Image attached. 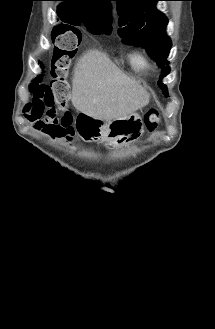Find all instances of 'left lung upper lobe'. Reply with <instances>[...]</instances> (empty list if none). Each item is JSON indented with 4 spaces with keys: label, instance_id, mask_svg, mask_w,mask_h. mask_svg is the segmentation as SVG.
Listing matches in <instances>:
<instances>
[{
    "label": "left lung upper lobe",
    "instance_id": "1",
    "mask_svg": "<svg viewBox=\"0 0 215 329\" xmlns=\"http://www.w3.org/2000/svg\"><path fill=\"white\" fill-rule=\"evenodd\" d=\"M118 1L119 34L124 43L144 47L161 68V78L170 72L167 57L171 40L166 34L167 17L156 9L161 0H116ZM159 87L168 96L167 87L161 81Z\"/></svg>",
    "mask_w": 215,
    "mask_h": 329
}]
</instances>
